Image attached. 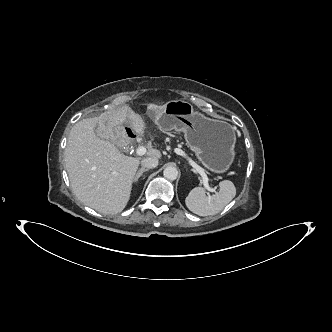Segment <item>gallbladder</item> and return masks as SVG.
Listing matches in <instances>:
<instances>
[{"label": "gallbladder", "instance_id": "1", "mask_svg": "<svg viewBox=\"0 0 332 332\" xmlns=\"http://www.w3.org/2000/svg\"><path fill=\"white\" fill-rule=\"evenodd\" d=\"M98 129H99V128H97V130H96V131H97V135H98V137H100V138H106V134L103 133V132H101V133L98 132Z\"/></svg>", "mask_w": 332, "mask_h": 332}]
</instances>
